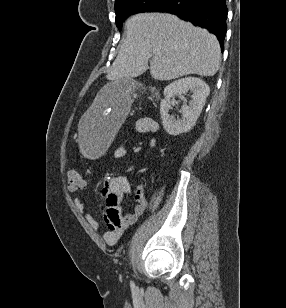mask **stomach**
Listing matches in <instances>:
<instances>
[{
    "label": "stomach",
    "mask_w": 286,
    "mask_h": 308,
    "mask_svg": "<svg viewBox=\"0 0 286 308\" xmlns=\"http://www.w3.org/2000/svg\"><path fill=\"white\" fill-rule=\"evenodd\" d=\"M132 79H119L103 89H98L93 97L92 109H84L80 122H77L78 137L76 149H82L85 161H96L109 149V142L115 137V130L122 124L125 113L130 108Z\"/></svg>",
    "instance_id": "0dacf381"
}]
</instances>
